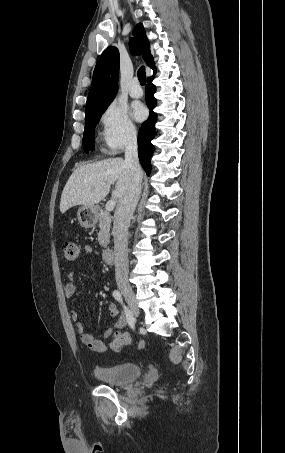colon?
Masks as SVG:
<instances>
[{
	"label": "colon",
	"instance_id": "obj_1",
	"mask_svg": "<svg viewBox=\"0 0 285 453\" xmlns=\"http://www.w3.org/2000/svg\"><path fill=\"white\" fill-rule=\"evenodd\" d=\"M63 249L65 259L69 262L75 261L81 253L79 245L74 240L70 239L64 241ZM132 343L133 341L128 333L117 331L114 333L113 339L110 342V347L112 350L118 351L121 347L131 345ZM137 347L143 348L144 342L139 341Z\"/></svg>",
	"mask_w": 285,
	"mask_h": 453
}]
</instances>
